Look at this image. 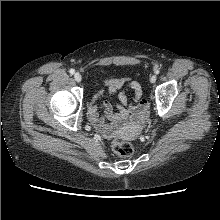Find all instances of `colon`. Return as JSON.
<instances>
[{"instance_id":"5ec220e1","label":"colon","mask_w":220,"mask_h":220,"mask_svg":"<svg viewBox=\"0 0 220 220\" xmlns=\"http://www.w3.org/2000/svg\"><path fill=\"white\" fill-rule=\"evenodd\" d=\"M111 148L116 155L121 157L131 156L134 152V148L130 143L117 139L111 140Z\"/></svg>"}]
</instances>
